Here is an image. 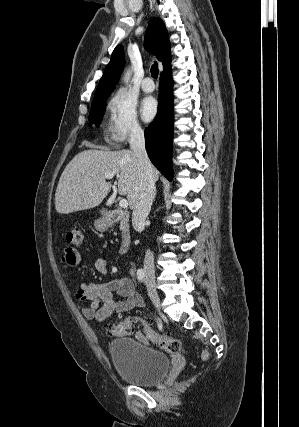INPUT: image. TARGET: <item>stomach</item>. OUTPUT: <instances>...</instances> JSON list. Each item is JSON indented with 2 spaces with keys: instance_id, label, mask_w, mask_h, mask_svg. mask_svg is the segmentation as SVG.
Instances as JSON below:
<instances>
[{
  "instance_id": "stomach-1",
  "label": "stomach",
  "mask_w": 299,
  "mask_h": 427,
  "mask_svg": "<svg viewBox=\"0 0 299 427\" xmlns=\"http://www.w3.org/2000/svg\"><path fill=\"white\" fill-rule=\"evenodd\" d=\"M99 226L102 227V229H105L108 226V221L107 220H100L97 222Z\"/></svg>"
}]
</instances>
